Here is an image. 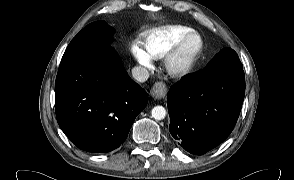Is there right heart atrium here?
<instances>
[{"label":"right heart atrium","instance_id":"right-heart-atrium-1","mask_svg":"<svg viewBox=\"0 0 294 180\" xmlns=\"http://www.w3.org/2000/svg\"><path fill=\"white\" fill-rule=\"evenodd\" d=\"M130 52L135 61L144 68H149L152 65V58L148 53L138 44L132 43L130 46Z\"/></svg>","mask_w":294,"mask_h":180}]
</instances>
